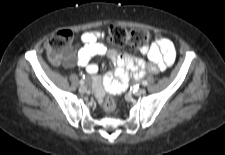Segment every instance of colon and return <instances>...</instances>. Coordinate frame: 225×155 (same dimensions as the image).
<instances>
[{
  "label": "colon",
  "mask_w": 225,
  "mask_h": 155,
  "mask_svg": "<svg viewBox=\"0 0 225 155\" xmlns=\"http://www.w3.org/2000/svg\"><path fill=\"white\" fill-rule=\"evenodd\" d=\"M108 37L117 46L132 45L141 47L146 45L152 35L145 29H128L120 25H111L107 30ZM73 34L69 30H60L50 36L45 48L51 62L58 64L62 60L71 61L73 58L72 52ZM106 109L112 111L114 103L110 98L106 100Z\"/></svg>",
  "instance_id": "colon-1"
}]
</instances>
